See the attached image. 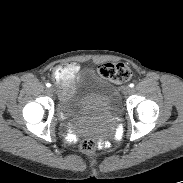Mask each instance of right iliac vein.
<instances>
[{
    "label": "right iliac vein",
    "mask_w": 183,
    "mask_h": 183,
    "mask_svg": "<svg viewBox=\"0 0 183 183\" xmlns=\"http://www.w3.org/2000/svg\"><path fill=\"white\" fill-rule=\"evenodd\" d=\"M49 90H50L51 92H53V93H54V92H56V89H55V87H53V86H52V87H50V89H49Z\"/></svg>",
    "instance_id": "1"
}]
</instances>
